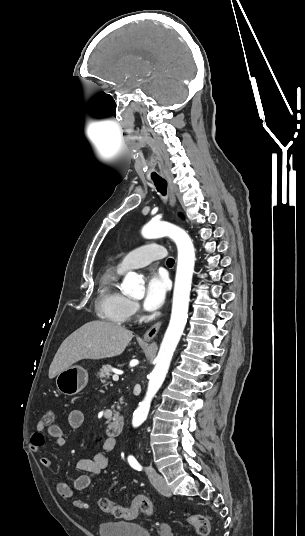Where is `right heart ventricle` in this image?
<instances>
[{
    "label": "right heart ventricle",
    "mask_w": 305,
    "mask_h": 536,
    "mask_svg": "<svg viewBox=\"0 0 305 536\" xmlns=\"http://www.w3.org/2000/svg\"><path fill=\"white\" fill-rule=\"evenodd\" d=\"M123 272L116 270L106 271L100 279L97 295V306L102 317L112 323L125 326L130 320V301L119 292L116 286L118 277Z\"/></svg>",
    "instance_id": "obj_1"
}]
</instances>
